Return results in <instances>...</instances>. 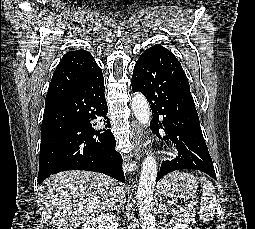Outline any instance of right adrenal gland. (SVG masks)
Returning a JSON list of instances; mask_svg holds the SVG:
<instances>
[{"label": "right adrenal gland", "instance_id": "obj_1", "mask_svg": "<svg viewBox=\"0 0 255 229\" xmlns=\"http://www.w3.org/2000/svg\"><path fill=\"white\" fill-rule=\"evenodd\" d=\"M123 208L121 207V205L118 206H114L111 208L112 211H116L117 213H120V210H122Z\"/></svg>", "mask_w": 255, "mask_h": 229}]
</instances>
